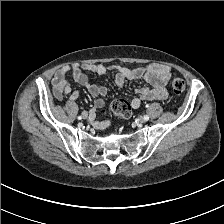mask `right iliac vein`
Returning a JSON list of instances; mask_svg holds the SVG:
<instances>
[{"label": "right iliac vein", "mask_w": 224, "mask_h": 224, "mask_svg": "<svg viewBox=\"0 0 224 224\" xmlns=\"http://www.w3.org/2000/svg\"><path fill=\"white\" fill-rule=\"evenodd\" d=\"M82 117H83L84 119H86V118L88 117V113L84 111L83 114H82Z\"/></svg>", "instance_id": "63e3f726"}]
</instances>
